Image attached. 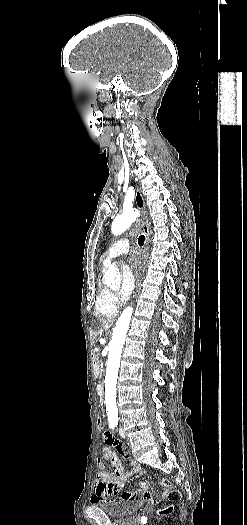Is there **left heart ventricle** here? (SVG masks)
Returning <instances> with one entry per match:
<instances>
[{
  "instance_id": "left-heart-ventricle-1",
  "label": "left heart ventricle",
  "mask_w": 247,
  "mask_h": 525,
  "mask_svg": "<svg viewBox=\"0 0 247 525\" xmlns=\"http://www.w3.org/2000/svg\"><path fill=\"white\" fill-rule=\"evenodd\" d=\"M121 270L123 271L127 267V258L124 256L120 262Z\"/></svg>"
}]
</instances>
